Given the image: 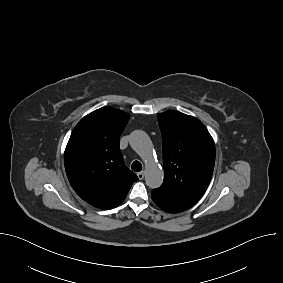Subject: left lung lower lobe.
I'll return each instance as SVG.
<instances>
[{"instance_id": "0a47b994", "label": "left lung lower lobe", "mask_w": 283, "mask_h": 283, "mask_svg": "<svg viewBox=\"0 0 283 283\" xmlns=\"http://www.w3.org/2000/svg\"><path fill=\"white\" fill-rule=\"evenodd\" d=\"M153 201L164 211L169 213H179L182 210L175 207L171 202L165 199L159 192L155 189L151 192Z\"/></svg>"}]
</instances>
